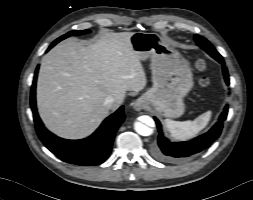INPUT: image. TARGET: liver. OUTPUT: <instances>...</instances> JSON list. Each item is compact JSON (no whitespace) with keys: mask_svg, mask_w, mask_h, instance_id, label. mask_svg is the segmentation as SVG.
<instances>
[{"mask_svg":"<svg viewBox=\"0 0 253 200\" xmlns=\"http://www.w3.org/2000/svg\"><path fill=\"white\" fill-rule=\"evenodd\" d=\"M132 32L105 33L84 46L67 39L42 59L37 80V107L45 126L68 139L93 133L109 115L108 96L116 110L126 91H141L147 79L133 51Z\"/></svg>","mask_w":253,"mask_h":200,"instance_id":"1","label":"liver"}]
</instances>
